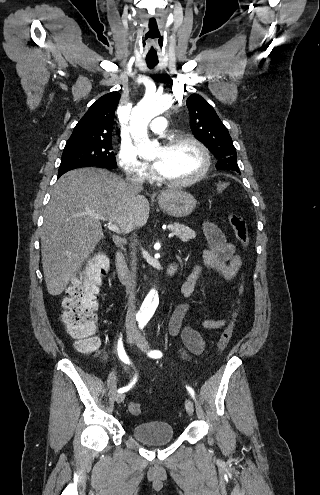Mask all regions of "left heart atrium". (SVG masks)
Instances as JSON below:
<instances>
[{
  "label": "left heart atrium",
  "mask_w": 320,
  "mask_h": 495,
  "mask_svg": "<svg viewBox=\"0 0 320 495\" xmlns=\"http://www.w3.org/2000/svg\"><path fill=\"white\" fill-rule=\"evenodd\" d=\"M155 165H156V169H157L158 171H161L160 164L156 163Z\"/></svg>",
  "instance_id": "obj_1"
}]
</instances>
